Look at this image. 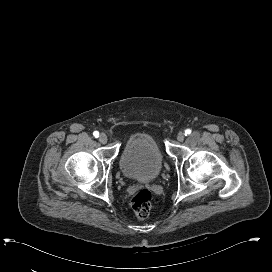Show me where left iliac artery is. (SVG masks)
Instances as JSON below:
<instances>
[{
    "instance_id": "left-iliac-artery-1",
    "label": "left iliac artery",
    "mask_w": 272,
    "mask_h": 272,
    "mask_svg": "<svg viewBox=\"0 0 272 272\" xmlns=\"http://www.w3.org/2000/svg\"><path fill=\"white\" fill-rule=\"evenodd\" d=\"M191 133V130L190 129H186L185 130V135H189Z\"/></svg>"
}]
</instances>
